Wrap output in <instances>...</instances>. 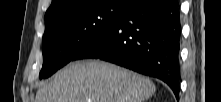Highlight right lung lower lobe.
<instances>
[{
  "mask_svg": "<svg viewBox=\"0 0 221 102\" xmlns=\"http://www.w3.org/2000/svg\"><path fill=\"white\" fill-rule=\"evenodd\" d=\"M177 0H136L122 18L74 58H96L164 81L179 97Z\"/></svg>",
  "mask_w": 221,
  "mask_h": 102,
  "instance_id": "right-lung-lower-lobe-1",
  "label": "right lung lower lobe"
}]
</instances>
